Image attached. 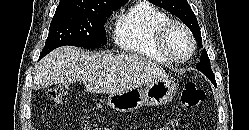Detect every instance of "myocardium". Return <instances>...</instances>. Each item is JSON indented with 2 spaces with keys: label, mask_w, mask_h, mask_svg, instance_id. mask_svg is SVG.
Returning <instances> with one entry per match:
<instances>
[{
  "label": "myocardium",
  "mask_w": 249,
  "mask_h": 130,
  "mask_svg": "<svg viewBox=\"0 0 249 130\" xmlns=\"http://www.w3.org/2000/svg\"><path fill=\"white\" fill-rule=\"evenodd\" d=\"M175 28L181 29L187 35L191 43V51L189 55L185 58L176 57L175 55L172 54V52L169 49V45H168L169 37ZM157 45L162 55L169 61L175 62V63L188 62L190 59L193 58V56L196 53V49H197L195 37L193 33L191 32V30L188 28V26L184 24L183 22L179 20H174V19L168 20L159 28L158 33H157Z\"/></svg>",
  "instance_id": "1"
}]
</instances>
